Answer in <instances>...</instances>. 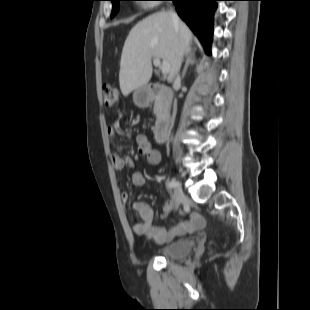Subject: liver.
I'll list each match as a JSON object with an SVG mask.
<instances>
[{
	"mask_svg": "<svg viewBox=\"0 0 310 310\" xmlns=\"http://www.w3.org/2000/svg\"><path fill=\"white\" fill-rule=\"evenodd\" d=\"M192 33L180 21L176 27L169 13H154L130 31L122 50L119 84L124 96L148 84L152 76V58L162 59L170 65L171 82L181 64V58L191 50Z\"/></svg>",
	"mask_w": 310,
	"mask_h": 310,
	"instance_id": "liver-1",
	"label": "liver"
}]
</instances>
